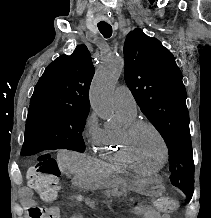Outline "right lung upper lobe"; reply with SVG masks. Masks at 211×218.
I'll return each mask as SVG.
<instances>
[{
	"instance_id": "cb5924a9",
	"label": "right lung upper lobe",
	"mask_w": 211,
	"mask_h": 218,
	"mask_svg": "<svg viewBox=\"0 0 211 218\" xmlns=\"http://www.w3.org/2000/svg\"><path fill=\"white\" fill-rule=\"evenodd\" d=\"M93 75L90 52L85 45H78L72 55H61L45 69L30 105L90 109L89 87Z\"/></svg>"
}]
</instances>
